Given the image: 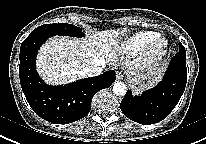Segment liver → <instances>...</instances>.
<instances>
[{
    "label": "liver",
    "mask_w": 206,
    "mask_h": 144,
    "mask_svg": "<svg viewBox=\"0 0 206 144\" xmlns=\"http://www.w3.org/2000/svg\"><path fill=\"white\" fill-rule=\"evenodd\" d=\"M119 34V30L110 29L93 32L83 39L54 37L40 49L38 72L46 83L52 85L76 81L85 76L84 68L93 65L105 67L106 63L116 61L112 47L117 46Z\"/></svg>",
    "instance_id": "1"
}]
</instances>
